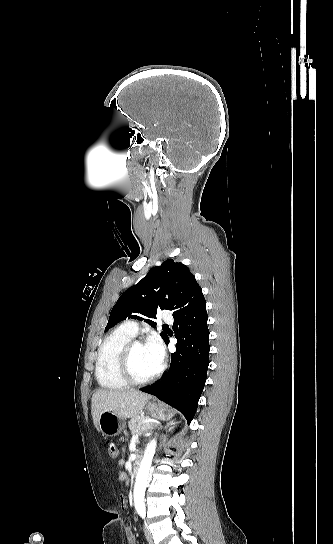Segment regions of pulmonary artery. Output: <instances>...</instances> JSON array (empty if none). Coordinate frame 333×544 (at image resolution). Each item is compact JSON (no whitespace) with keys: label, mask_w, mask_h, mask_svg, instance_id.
<instances>
[{"label":"pulmonary artery","mask_w":333,"mask_h":544,"mask_svg":"<svg viewBox=\"0 0 333 544\" xmlns=\"http://www.w3.org/2000/svg\"><path fill=\"white\" fill-rule=\"evenodd\" d=\"M162 318L167 323H172L173 321V317L169 313H165ZM121 326L133 336L137 335L139 331V324L134 320L126 321Z\"/></svg>","instance_id":"1"}]
</instances>
